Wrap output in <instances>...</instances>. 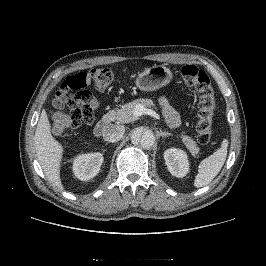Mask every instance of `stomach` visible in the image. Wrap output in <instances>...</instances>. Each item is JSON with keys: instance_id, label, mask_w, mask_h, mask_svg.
<instances>
[{"instance_id": "obj_1", "label": "stomach", "mask_w": 266, "mask_h": 266, "mask_svg": "<svg viewBox=\"0 0 266 266\" xmlns=\"http://www.w3.org/2000/svg\"><path fill=\"white\" fill-rule=\"evenodd\" d=\"M173 78L171 70L165 65H154L138 73L136 86L141 91L152 92L167 86Z\"/></svg>"}]
</instances>
